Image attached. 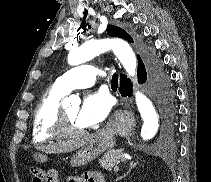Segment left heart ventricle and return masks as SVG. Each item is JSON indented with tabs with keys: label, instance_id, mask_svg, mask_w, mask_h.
Listing matches in <instances>:
<instances>
[{
	"label": "left heart ventricle",
	"instance_id": "1",
	"mask_svg": "<svg viewBox=\"0 0 211 182\" xmlns=\"http://www.w3.org/2000/svg\"><path fill=\"white\" fill-rule=\"evenodd\" d=\"M78 111H79L78 107L64 108V112H65L66 118H67L70 126L73 129L81 130V129H84V127L81 124H79V122L77 121Z\"/></svg>",
	"mask_w": 211,
	"mask_h": 182
}]
</instances>
